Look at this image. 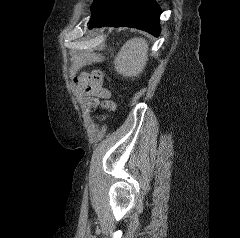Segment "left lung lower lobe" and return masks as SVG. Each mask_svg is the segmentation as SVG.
<instances>
[{
	"mask_svg": "<svg viewBox=\"0 0 240 238\" xmlns=\"http://www.w3.org/2000/svg\"><path fill=\"white\" fill-rule=\"evenodd\" d=\"M161 9L155 0H95L89 28L126 26L160 34Z\"/></svg>",
	"mask_w": 240,
	"mask_h": 238,
	"instance_id": "0a47b994",
	"label": "left lung lower lobe"
}]
</instances>
